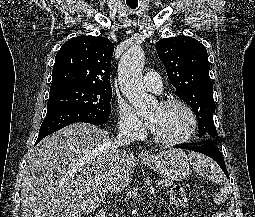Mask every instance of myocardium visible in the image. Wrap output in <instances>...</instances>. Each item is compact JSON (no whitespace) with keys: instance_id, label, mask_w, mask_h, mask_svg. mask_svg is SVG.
I'll list each match as a JSON object with an SVG mask.
<instances>
[{"instance_id":"myocardium-1","label":"myocardium","mask_w":255,"mask_h":217,"mask_svg":"<svg viewBox=\"0 0 255 217\" xmlns=\"http://www.w3.org/2000/svg\"><path fill=\"white\" fill-rule=\"evenodd\" d=\"M159 105L161 107H168V106H172V105H179V106L183 107L190 117V128L185 135H183L179 138H176V139H164V138H161L160 136L156 135L152 131L151 133H152L153 139L157 143H159L161 145H165V146H176V145H180V144L188 142L195 135L197 127H198V118H197V115H196L194 109L192 108V106L188 102H186L185 100L180 99V98L164 99L159 103Z\"/></svg>"}]
</instances>
